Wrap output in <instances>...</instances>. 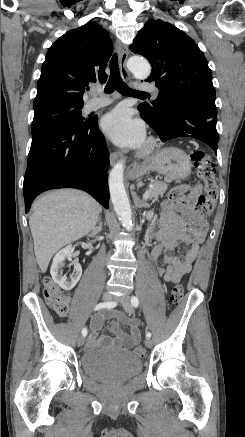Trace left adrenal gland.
I'll return each mask as SVG.
<instances>
[{
    "instance_id": "a2214340",
    "label": "left adrenal gland",
    "mask_w": 245,
    "mask_h": 437,
    "mask_svg": "<svg viewBox=\"0 0 245 437\" xmlns=\"http://www.w3.org/2000/svg\"><path fill=\"white\" fill-rule=\"evenodd\" d=\"M133 201L136 207L138 208H149V204L140 200L139 196L136 194V192L131 191Z\"/></svg>"
}]
</instances>
